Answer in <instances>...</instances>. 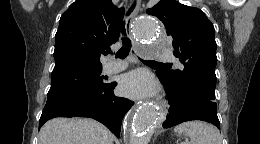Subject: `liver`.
<instances>
[{"mask_svg":"<svg viewBox=\"0 0 260 144\" xmlns=\"http://www.w3.org/2000/svg\"><path fill=\"white\" fill-rule=\"evenodd\" d=\"M113 140L104 125L88 118H55L39 133V144H113Z\"/></svg>","mask_w":260,"mask_h":144,"instance_id":"1","label":"liver"}]
</instances>
